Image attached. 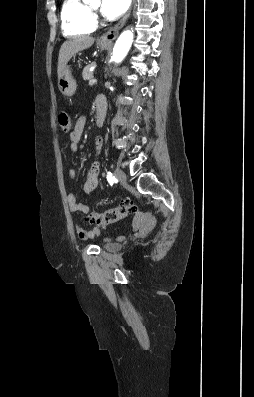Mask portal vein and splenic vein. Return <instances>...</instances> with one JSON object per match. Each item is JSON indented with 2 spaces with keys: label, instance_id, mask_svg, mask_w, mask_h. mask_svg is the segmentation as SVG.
<instances>
[{
  "label": "portal vein and splenic vein",
  "instance_id": "18ae733b",
  "mask_svg": "<svg viewBox=\"0 0 254 397\" xmlns=\"http://www.w3.org/2000/svg\"><path fill=\"white\" fill-rule=\"evenodd\" d=\"M97 82V80L96 79H90L89 80V85H93V84H95Z\"/></svg>",
  "mask_w": 254,
  "mask_h": 397
}]
</instances>
